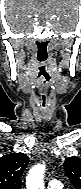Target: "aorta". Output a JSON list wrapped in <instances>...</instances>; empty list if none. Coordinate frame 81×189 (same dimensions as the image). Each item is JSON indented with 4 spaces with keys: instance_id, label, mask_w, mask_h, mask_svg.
<instances>
[{
    "instance_id": "1",
    "label": "aorta",
    "mask_w": 81,
    "mask_h": 189,
    "mask_svg": "<svg viewBox=\"0 0 81 189\" xmlns=\"http://www.w3.org/2000/svg\"><path fill=\"white\" fill-rule=\"evenodd\" d=\"M44 164H37L33 166L26 177V187L27 189H44Z\"/></svg>"
}]
</instances>
